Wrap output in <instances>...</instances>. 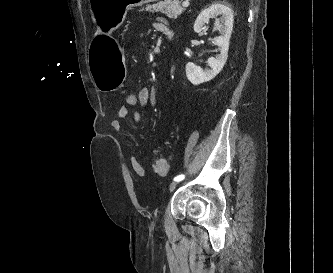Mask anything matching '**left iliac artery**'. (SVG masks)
Returning a JSON list of instances; mask_svg holds the SVG:
<instances>
[{
	"instance_id": "1",
	"label": "left iliac artery",
	"mask_w": 333,
	"mask_h": 273,
	"mask_svg": "<svg viewBox=\"0 0 333 273\" xmlns=\"http://www.w3.org/2000/svg\"><path fill=\"white\" fill-rule=\"evenodd\" d=\"M185 178V175L181 174V175H178L174 178V181H181Z\"/></svg>"
}]
</instances>
